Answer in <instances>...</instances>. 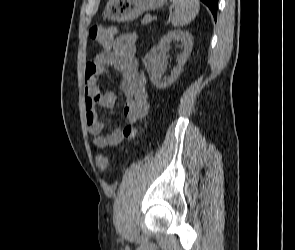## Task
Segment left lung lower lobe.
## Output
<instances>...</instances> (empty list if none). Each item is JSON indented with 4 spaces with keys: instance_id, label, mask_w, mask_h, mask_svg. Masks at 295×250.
Listing matches in <instances>:
<instances>
[{
    "instance_id": "0a47b994",
    "label": "left lung lower lobe",
    "mask_w": 295,
    "mask_h": 250,
    "mask_svg": "<svg viewBox=\"0 0 295 250\" xmlns=\"http://www.w3.org/2000/svg\"><path fill=\"white\" fill-rule=\"evenodd\" d=\"M211 10L215 20L217 18L218 0H201Z\"/></svg>"
}]
</instances>
